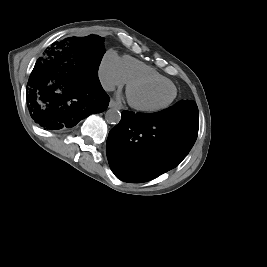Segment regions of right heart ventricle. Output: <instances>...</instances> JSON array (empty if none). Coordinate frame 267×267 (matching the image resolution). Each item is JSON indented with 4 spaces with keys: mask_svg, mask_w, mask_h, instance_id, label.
I'll use <instances>...</instances> for the list:
<instances>
[{
    "mask_svg": "<svg viewBox=\"0 0 267 267\" xmlns=\"http://www.w3.org/2000/svg\"><path fill=\"white\" fill-rule=\"evenodd\" d=\"M121 66L124 78L127 82L137 78H153L165 82H170L168 78L160 74L154 68L144 64L130 56H124L121 59Z\"/></svg>",
    "mask_w": 267,
    "mask_h": 267,
    "instance_id": "obj_1",
    "label": "right heart ventricle"
}]
</instances>
